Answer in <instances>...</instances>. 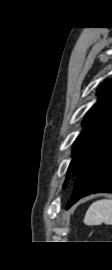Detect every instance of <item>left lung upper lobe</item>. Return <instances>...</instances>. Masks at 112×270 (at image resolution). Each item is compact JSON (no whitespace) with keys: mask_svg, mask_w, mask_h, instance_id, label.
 <instances>
[{"mask_svg":"<svg viewBox=\"0 0 112 270\" xmlns=\"http://www.w3.org/2000/svg\"><path fill=\"white\" fill-rule=\"evenodd\" d=\"M97 94L100 98L83 121L85 128L76 139L63 188L71 176L77 178L112 149V79L103 83Z\"/></svg>","mask_w":112,"mask_h":270,"instance_id":"1","label":"left lung upper lobe"}]
</instances>
